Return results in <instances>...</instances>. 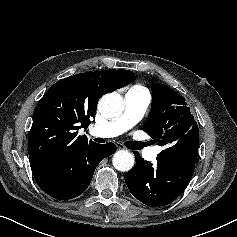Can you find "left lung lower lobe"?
Masks as SVG:
<instances>
[{"instance_id":"1","label":"left lung lower lobe","mask_w":237,"mask_h":237,"mask_svg":"<svg viewBox=\"0 0 237 237\" xmlns=\"http://www.w3.org/2000/svg\"><path fill=\"white\" fill-rule=\"evenodd\" d=\"M136 165L125 173L130 193L150 206H164L174 201L188 185L194 168L193 162H168L156 158L153 165L134 152Z\"/></svg>"}]
</instances>
